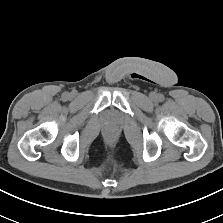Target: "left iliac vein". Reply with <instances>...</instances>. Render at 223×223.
<instances>
[{
	"mask_svg": "<svg viewBox=\"0 0 223 223\" xmlns=\"http://www.w3.org/2000/svg\"><path fill=\"white\" fill-rule=\"evenodd\" d=\"M156 97H157L156 93L153 92V93L150 94V98L152 100H154Z\"/></svg>",
	"mask_w": 223,
	"mask_h": 223,
	"instance_id": "4c4485c4",
	"label": "left iliac vein"
}]
</instances>
